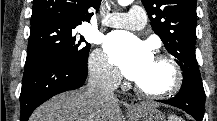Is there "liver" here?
I'll list each match as a JSON object with an SVG mask.
<instances>
[{
  "label": "liver",
  "instance_id": "6515ba94",
  "mask_svg": "<svg viewBox=\"0 0 217 121\" xmlns=\"http://www.w3.org/2000/svg\"><path fill=\"white\" fill-rule=\"evenodd\" d=\"M129 110V121H138L139 112L146 103L136 105ZM154 108V107H153ZM30 121H125L118 99L103 103H93L86 90H74L54 96L39 106L30 117Z\"/></svg>",
  "mask_w": 217,
  "mask_h": 121
}]
</instances>
